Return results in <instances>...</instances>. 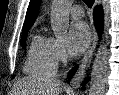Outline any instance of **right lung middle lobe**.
Instances as JSON below:
<instances>
[{"label":"right lung middle lobe","instance_id":"obj_1","mask_svg":"<svg viewBox=\"0 0 119 95\" xmlns=\"http://www.w3.org/2000/svg\"><path fill=\"white\" fill-rule=\"evenodd\" d=\"M27 33H28V31L23 32V33H22V37H21V45H22V47H23L24 49H25V47H26L25 40H26V37H27Z\"/></svg>","mask_w":119,"mask_h":95}]
</instances>
